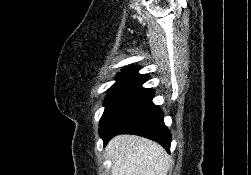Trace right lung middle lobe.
<instances>
[{
    "label": "right lung middle lobe",
    "mask_w": 251,
    "mask_h": 175,
    "mask_svg": "<svg viewBox=\"0 0 251 175\" xmlns=\"http://www.w3.org/2000/svg\"><path fill=\"white\" fill-rule=\"evenodd\" d=\"M137 83L138 81L133 78H127V77L116 78V82L107 91V96L104 101L105 111L103 113L101 120L105 116L109 107L114 103V101L118 99L126 90H128L130 87L134 86Z\"/></svg>",
    "instance_id": "1"
}]
</instances>
